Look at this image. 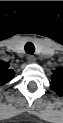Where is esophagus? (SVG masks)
I'll return each instance as SVG.
<instances>
[{
	"label": "esophagus",
	"instance_id": "esophagus-1",
	"mask_svg": "<svg viewBox=\"0 0 63 123\" xmlns=\"http://www.w3.org/2000/svg\"><path fill=\"white\" fill-rule=\"evenodd\" d=\"M27 59H28V62L30 63H34L36 61V58L33 55H29Z\"/></svg>",
	"mask_w": 63,
	"mask_h": 123
}]
</instances>
